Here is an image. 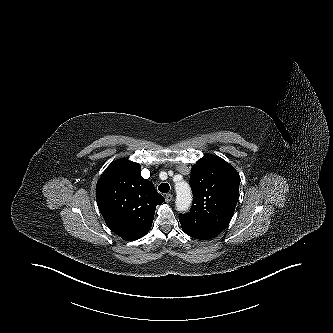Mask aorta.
I'll use <instances>...</instances> for the list:
<instances>
[{"label":"aorta","instance_id":"762f6f07","mask_svg":"<svg viewBox=\"0 0 333 333\" xmlns=\"http://www.w3.org/2000/svg\"><path fill=\"white\" fill-rule=\"evenodd\" d=\"M176 208L178 211H187L192 203L191 189L185 181L176 183Z\"/></svg>","mask_w":333,"mask_h":333}]
</instances>
